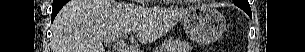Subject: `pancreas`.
<instances>
[{"label": "pancreas", "instance_id": "1", "mask_svg": "<svg viewBox=\"0 0 305 52\" xmlns=\"http://www.w3.org/2000/svg\"><path fill=\"white\" fill-rule=\"evenodd\" d=\"M192 49L186 41H181L180 39H169L165 41L161 47L160 52H188Z\"/></svg>", "mask_w": 305, "mask_h": 52}]
</instances>
